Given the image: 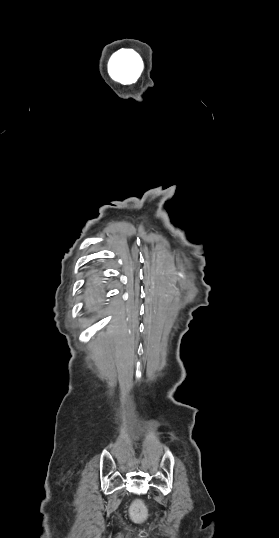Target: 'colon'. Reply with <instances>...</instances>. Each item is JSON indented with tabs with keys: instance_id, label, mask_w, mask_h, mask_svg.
<instances>
[{
	"instance_id": "obj_1",
	"label": "colon",
	"mask_w": 279,
	"mask_h": 538,
	"mask_svg": "<svg viewBox=\"0 0 279 538\" xmlns=\"http://www.w3.org/2000/svg\"><path fill=\"white\" fill-rule=\"evenodd\" d=\"M133 511H134V514H135L137 517H139V516L142 515V513H143V511H144V508H143V506H142L141 503H136V504H134V506H133Z\"/></svg>"
}]
</instances>
